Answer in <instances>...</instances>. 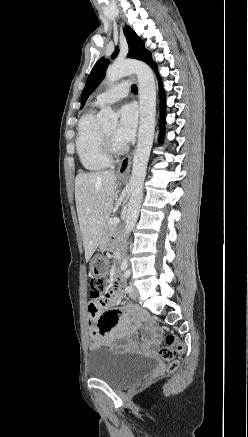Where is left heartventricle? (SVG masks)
Instances as JSON below:
<instances>
[{
  "mask_svg": "<svg viewBox=\"0 0 248 437\" xmlns=\"http://www.w3.org/2000/svg\"><path fill=\"white\" fill-rule=\"evenodd\" d=\"M116 127L115 125H111L109 127L104 128L105 133L117 144L120 145L114 138Z\"/></svg>",
  "mask_w": 248,
  "mask_h": 437,
  "instance_id": "left-heart-ventricle-1",
  "label": "left heart ventricle"
}]
</instances>
